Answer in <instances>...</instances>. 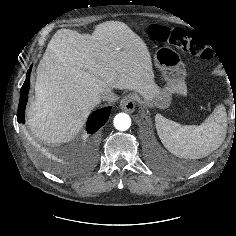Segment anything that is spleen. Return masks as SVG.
<instances>
[{"instance_id":"1","label":"spleen","mask_w":236,"mask_h":236,"mask_svg":"<svg viewBox=\"0 0 236 236\" xmlns=\"http://www.w3.org/2000/svg\"><path fill=\"white\" fill-rule=\"evenodd\" d=\"M155 125L162 144L172 154L190 159L208 156L223 143L227 131V118L223 105L199 126L181 125L161 114H156Z\"/></svg>"}]
</instances>
